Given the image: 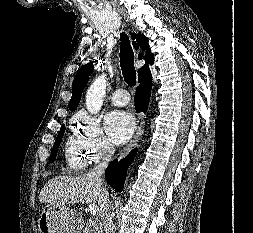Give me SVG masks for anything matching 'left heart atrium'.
<instances>
[{
	"mask_svg": "<svg viewBox=\"0 0 253 233\" xmlns=\"http://www.w3.org/2000/svg\"><path fill=\"white\" fill-rule=\"evenodd\" d=\"M105 126L107 134L113 143L124 144L133 134L134 120L126 112L113 111L106 116Z\"/></svg>",
	"mask_w": 253,
	"mask_h": 233,
	"instance_id": "obj_1",
	"label": "left heart atrium"
}]
</instances>
